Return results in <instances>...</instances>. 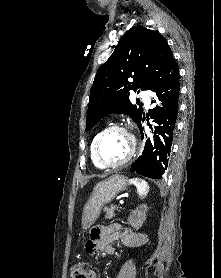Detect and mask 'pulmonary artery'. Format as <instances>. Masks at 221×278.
<instances>
[{
	"label": "pulmonary artery",
	"instance_id": "obj_1",
	"mask_svg": "<svg viewBox=\"0 0 221 278\" xmlns=\"http://www.w3.org/2000/svg\"><path fill=\"white\" fill-rule=\"evenodd\" d=\"M141 96L144 99L145 106L148 108L150 106V98L147 94V91H141Z\"/></svg>",
	"mask_w": 221,
	"mask_h": 278
}]
</instances>
